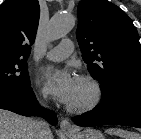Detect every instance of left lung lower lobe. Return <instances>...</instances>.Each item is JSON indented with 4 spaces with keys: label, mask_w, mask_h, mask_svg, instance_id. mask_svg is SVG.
Listing matches in <instances>:
<instances>
[{
    "label": "left lung lower lobe",
    "mask_w": 141,
    "mask_h": 139,
    "mask_svg": "<svg viewBox=\"0 0 141 139\" xmlns=\"http://www.w3.org/2000/svg\"><path fill=\"white\" fill-rule=\"evenodd\" d=\"M78 126L125 125L141 128V86L126 87L103 98L92 111L72 118Z\"/></svg>",
    "instance_id": "left-lung-lower-lobe-1"
}]
</instances>
